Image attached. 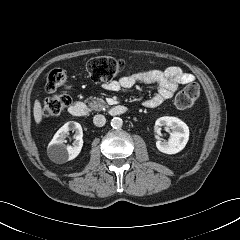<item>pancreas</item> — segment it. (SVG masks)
<instances>
[{"instance_id":"cf45deb5","label":"pancreas","mask_w":240,"mask_h":240,"mask_svg":"<svg viewBox=\"0 0 240 240\" xmlns=\"http://www.w3.org/2000/svg\"><path fill=\"white\" fill-rule=\"evenodd\" d=\"M92 99V97H90ZM89 107L95 111H101L108 107L105 104V101L101 98H94L91 102H89Z\"/></svg>"}]
</instances>
